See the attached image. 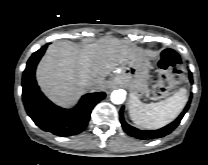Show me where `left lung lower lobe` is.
I'll return each instance as SVG.
<instances>
[{
	"mask_svg": "<svg viewBox=\"0 0 208 165\" xmlns=\"http://www.w3.org/2000/svg\"><path fill=\"white\" fill-rule=\"evenodd\" d=\"M189 78H190V81L192 82V73L191 72H189ZM189 106H190V101L188 102V104L186 105L183 112L179 115V117L175 121H173L172 123H170L169 125L161 128V129L154 130V131L139 130V129H137L135 127H132L129 124H127L124 120V117H123L124 107H122L121 110H120V122L122 124V127H123L124 131L127 134H129L130 136H133V137L141 139V140L152 139V138H160V137H163V136L171 133L179 125L183 116L187 112Z\"/></svg>",
	"mask_w": 208,
	"mask_h": 165,
	"instance_id": "1",
	"label": "left lung lower lobe"
}]
</instances>
